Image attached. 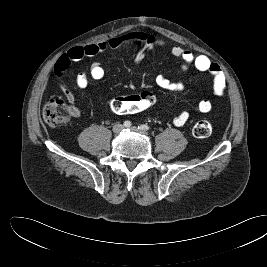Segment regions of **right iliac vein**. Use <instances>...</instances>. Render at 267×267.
<instances>
[{
    "mask_svg": "<svg viewBox=\"0 0 267 267\" xmlns=\"http://www.w3.org/2000/svg\"><path fill=\"white\" fill-rule=\"evenodd\" d=\"M124 126L122 124H115L112 128L113 132L120 133L123 130Z\"/></svg>",
    "mask_w": 267,
    "mask_h": 267,
    "instance_id": "1",
    "label": "right iliac vein"
}]
</instances>
